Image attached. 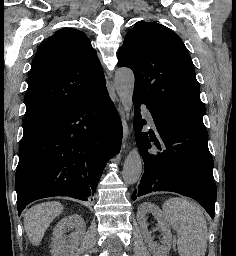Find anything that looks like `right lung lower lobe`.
Here are the masks:
<instances>
[{
  "label": "right lung lower lobe",
  "mask_w": 236,
  "mask_h": 256,
  "mask_svg": "<svg viewBox=\"0 0 236 256\" xmlns=\"http://www.w3.org/2000/svg\"><path fill=\"white\" fill-rule=\"evenodd\" d=\"M121 140V120L107 89L23 135L15 177L18 215L46 197L87 201Z\"/></svg>",
  "instance_id": "1"
}]
</instances>
